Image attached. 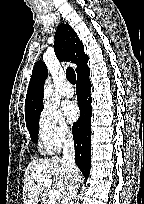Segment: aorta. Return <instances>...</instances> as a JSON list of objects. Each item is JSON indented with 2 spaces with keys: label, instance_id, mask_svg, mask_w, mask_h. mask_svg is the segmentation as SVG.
I'll list each match as a JSON object with an SVG mask.
<instances>
[{
  "label": "aorta",
  "instance_id": "obj_1",
  "mask_svg": "<svg viewBox=\"0 0 144 204\" xmlns=\"http://www.w3.org/2000/svg\"><path fill=\"white\" fill-rule=\"evenodd\" d=\"M53 92V88L50 82V79L46 80L45 82V87H44V96L46 99H49V97L51 96Z\"/></svg>",
  "mask_w": 144,
  "mask_h": 204
}]
</instances>
